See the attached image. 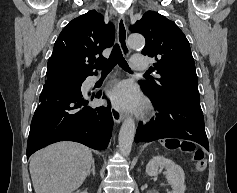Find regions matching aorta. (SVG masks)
Wrapping results in <instances>:
<instances>
[{"label": "aorta", "mask_w": 237, "mask_h": 193, "mask_svg": "<svg viewBox=\"0 0 237 193\" xmlns=\"http://www.w3.org/2000/svg\"><path fill=\"white\" fill-rule=\"evenodd\" d=\"M128 45L131 49L143 48L145 46V38L138 33L131 34L128 37ZM136 126L133 118H127L120 129L118 142L122 155L129 156L135 136Z\"/></svg>", "instance_id": "1"}]
</instances>
